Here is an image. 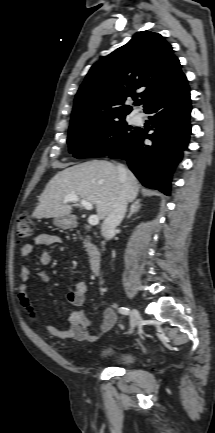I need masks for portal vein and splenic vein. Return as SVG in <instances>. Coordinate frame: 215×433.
Wrapping results in <instances>:
<instances>
[{"instance_id": "1", "label": "portal vein and splenic vein", "mask_w": 215, "mask_h": 433, "mask_svg": "<svg viewBox=\"0 0 215 433\" xmlns=\"http://www.w3.org/2000/svg\"><path fill=\"white\" fill-rule=\"evenodd\" d=\"M78 201H80L81 205L84 208H86L87 210L93 209V205L90 202H88L86 200H83V199L80 200L79 197L77 195H75V194L67 195V196L64 197V200H63L64 203L78 202ZM88 223L90 225H92V226L97 225L99 223V217H98V215H91V216H89Z\"/></svg>"}]
</instances>
